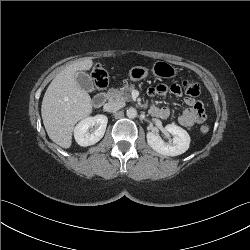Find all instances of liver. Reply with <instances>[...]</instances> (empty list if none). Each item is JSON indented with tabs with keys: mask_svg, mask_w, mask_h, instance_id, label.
I'll use <instances>...</instances> for the list:
<instances>
[{
	"mask_svg": "<svg viewBox=\"0 0 250 250\" xmlns=\"http://www.w3.org/2000/svg\"><path fill=\"white\" fill-rule=\"evenodd\" d=\"M91 58L74 62L63 69L49 84L41 106L44 127L49 138L67 149L72 144L74 125L92 112L91 98L78 86L79 72L90 70Z\"/></svg>",
	"mask_w": 250,
	"mask_h": 250,
	"instance_id": "6515ba94",
	"label": "liver"
}]
</instances>
